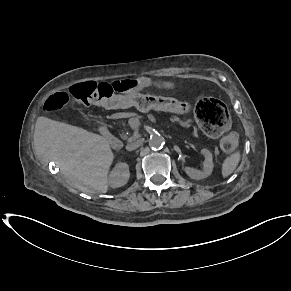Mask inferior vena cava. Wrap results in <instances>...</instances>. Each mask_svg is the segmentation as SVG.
Masks as SVG:
<instances>
[{
    "label": "inferior vena cava",
    "instance_id": "1",
    "mask_svg": "<svg viewBox=\"0 0 291 291\" xmlns=\"http://www.w3.org/2000/svg\"><path fill=\"white\" fill-rule=\"evenodd\" d=\"M142 144H143V140L142 139L136 140L134 142H131V143L127 144L126 145V150H128V151L135 150L138 147H140Z\"/></svg>",
    "mask_w": 291,
    "mask_h": 291
}]
</instances>
